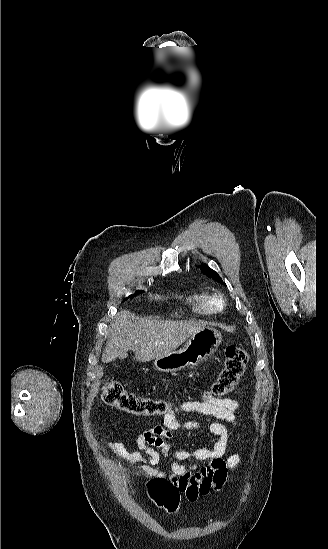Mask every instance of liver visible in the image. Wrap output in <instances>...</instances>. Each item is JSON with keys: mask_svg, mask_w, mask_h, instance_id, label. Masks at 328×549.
<instances>
[{"mask_svg": "<svg viewBox=\"0 0 328 549\" xmlns=\"http://www.w3.org/2000/svg\"><path fill=\"white\" fill-rule=\"evenodd\" d=\"M203 327L206 323L200 321H162L159 317H135L130 311H121L110 325L102 363L127 359L128 351L135 353L137 361L148 363L174 353Z\"/></svg>", "mask_w": 328, "mask_h": 549, "instance_id": "obj_1", "label": "liver"}]
</instances>
